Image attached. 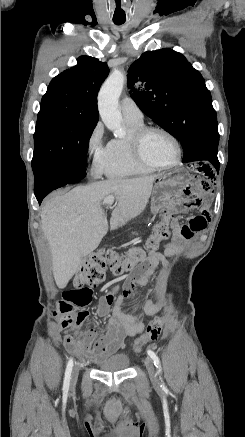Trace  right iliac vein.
<instances>
[{
    "label": "right iliac vein",
    "instance_id": "1",
    "mask_svg": "<svg viewBox=\"0 0 245 437\" xmlns=\"http://www.w3.org/2000/svg\"><path fill=\"white\" fill-rule=\"evenodd\" d=\"M78 373H79V367L78 365H75V367L73 368L72 374H71V385H75L77 378H78Z\"/></svg>",
    "mask_w": 245,
    "mask_h": 437
}]
</instances>
